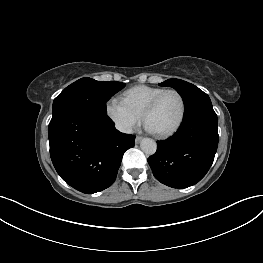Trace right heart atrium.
Returning <instances> with one entry per match:
<instances>
[{
	"mask_svg": "<svg viewBox=\"0 0 263 263\" xmlns=\"http://www.w3.org/2000/svg\"><path fill=\"white\" fill-rule=\"evenodd\" d=\"M106 114L122 133H131L141 123V116L131 111L116 98H112L106 103Z\"/></svg>",
	"mask_w": 263,
	"mask_h": 263,
	"instance_id": "d8ad5b80",
	"label": "right heart atrium"
}]
</instances>
